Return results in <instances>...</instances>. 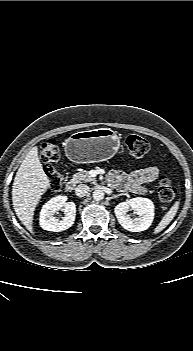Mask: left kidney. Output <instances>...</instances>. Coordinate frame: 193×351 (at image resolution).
Listing matches in <instances>:
<instances>
[{"mask_svg": "<svg viewBox=\"0 0 193 351\" xmlns=\"http://www.w3.org/2000/svg\"><path fill=\"white\" fill-rule=\"evenodd\" d=\"M129 209L135 211L138 217L132 219L127 212ZM115 215L120 225L131 232L147 230L154 219V204L150 199L143 197L132 198L126 202L119 203L114 208Z\"/></svg>", "mask_w": 193, "mask_h": 351, "instance_id": "obj_1", "label": "left kidney"}]
</instances>
